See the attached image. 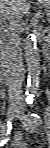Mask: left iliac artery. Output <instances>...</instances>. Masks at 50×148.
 <instances>
[{
  "label": "left iliac artery",
  "instance_id": "left-iliac-artery-1",
  "mask_svg": "<svg viewBox=\"0 0 50 148\" xmlns=\"http://www.w3.org/2000/svg\"><path fill=\"white\" fill-rule=\"evenodd\" d=\"M32 119L33 121L37 124V125H41L42 124V119L39 115L33 113L32 114Z\"/></svg>",
  "mask_w": 50,
  "mask_h": 148
}]
</instances>
